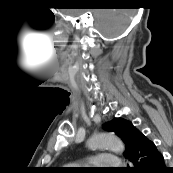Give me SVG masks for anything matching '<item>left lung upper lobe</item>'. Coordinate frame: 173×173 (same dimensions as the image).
<instances>
[{"label":"left lung upper lobe","mask_w":173,"mask_h":173,"mask_svg":"<svg viewBox=\"0 0 173 173\" xmlns=\"http://www.w3.org/2000/svg\"><path fill=\"white\" fill-rule=\"evenodd\" d=\"M103 128L107 131L114 132L122 139L126 147L124 152V156L126 157L135 144L136 135L139 130L136 129L130 121L122 118H115L107 122Z\"/></svg>","instance_id":"left-lung-upper-lobe-1"}]
</instances>
